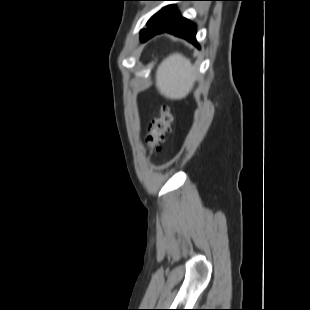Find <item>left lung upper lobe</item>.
<instances>
[{"label":"left lung upper lobe","instance_id":"5c2ea615","mask_svg":"<svg viewBox=\"0 0 310 310\" xmlns=\"http://www.w3.org/2000/svg\"><path fill=\"white\" fill-rule=\"evenodd\" d=\"M177 15L178 11L175 5H169L167 7H164L147 22L148 28L141 31V41H144L146 37H148L153 32L159 30L160 28L171 24L175 20Z\"/></svg>","mask_w":310,"mask_h":310}]
</instances>
